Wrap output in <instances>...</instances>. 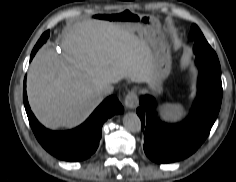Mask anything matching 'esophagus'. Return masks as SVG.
I'll use <instances>...</instances> for the list:
<instances>
[{
	"mask_svg": "<svg viewBox=\"0 0 236 182\" xmlns=\"http://www.w3.org/2000/svg\"><path fill=\"white\" fill-rule=\"evenodd\" d=\"M124 103L128 109H136L139 105V99L136 91L129 92L125 97Z\"/></svg>",
	"mask_w": 236,
	"mask_h": 182,
	"instance_id": "esophagus-1",
	"label": "esophagus"
}]
</instances>
